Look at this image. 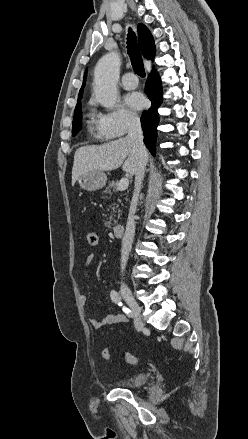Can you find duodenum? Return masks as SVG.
<instances>
[{
	"label": "duodenum",
	"mask_w": 248,
	"mask_h": 439,
	"mask_svg": "<svg viewBox=\"0 0 248 439\" xmlns=\"http://www.w3.org/2000/svg\"><path fill=\"white\" fill-rule=\"evenodd\" d=\"M125 232V225L123 223H117L113 226V233L115 236H122Z\"/></svg>",
	"instance_id": "duodenum-1"
}]
</instances>
